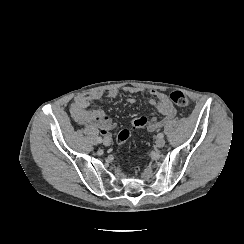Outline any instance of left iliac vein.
<instances>
[{"label": "left iliac vein", "mask_w": 244, "mask_h": 244, "mask_svg": "<svg viewBox=\"0 0 244 244\" xmlns=\"http://www.w3.org/2000/svg\"><path fill=\"white\" fill-rule=\"evenodd\" d=\"M164 145H165V140H164L163 138H158V139L156 140V146H157L158 148H162Z\"/></svg>", "instance_id": "obj_1"}]
</instances>
